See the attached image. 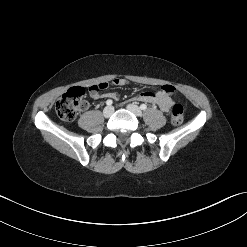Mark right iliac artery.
<instances>
[{
    "mask_svg": "<svg viewBox=\"0 0 247 247\" xmlns=\"http://www.w3.org/2000/svg\"><path fill=\"white\" fill-rule=\"evenodd\" d=\"M112 103H113V101H112L111 99H108V100L106 101V104H107L108 106L112 105Z\"/></svg>",
    "mask_w": 247,
    "mask_h": 247,
    "instance_id": "obj_1",
    "label": "right iliac artery"
}]
</instances>
